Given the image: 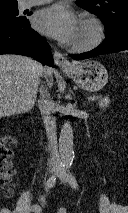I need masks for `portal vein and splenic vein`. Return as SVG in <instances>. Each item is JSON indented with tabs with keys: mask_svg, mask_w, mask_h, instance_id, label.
Wrapping results in <instances>:
<instances>
[{
	"mask_svg": "<svg viewBox=\"0 0 128 213\" xmlns=\"http://www.w3.org/2000/svg\"><path fill=\"white\" fill-rule=\"evenodd\" d=\"M93 99L92 97H88V100Z\"/></svg>",
	"mask_w": 128,
	"mask_h": 213,
	"instance_id": "obj_1",
	"label": "portal vein and splenic vein"
}]
</instances>
